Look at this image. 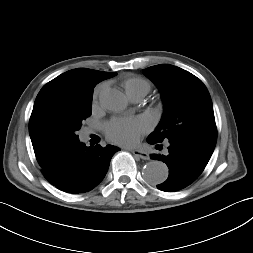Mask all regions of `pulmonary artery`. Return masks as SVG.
Wrapping results in <instances>:
<instances>
[{
    "instance_id": "e3ab8cb5",
    "label": "pulmonary artery",
    "mask_w": 253,
    "mask_h": 253,
    "mask_svg": "<svg viewBox=\"0 0 253 253\" xmlns=\"http://www.w3.org/2000/svg\"><path fill=\"white\" fill-rule=\"evenodd\" d=\"M145 95L146 94L144 92H136V93H133V94L129 95V97L132 101L139 102L144 98ZM89 133H90V131L88 130L86 132V134H89Z\"/></svg>"
}]
</instances>
